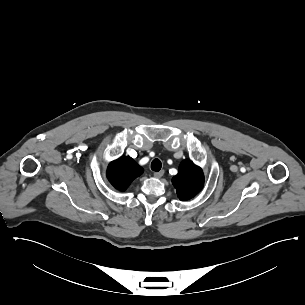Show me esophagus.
<instances>
[{"mask_svg": "<svg viewBox=\"0 0 305 305\" xmlns=\"http://www.w3.org/2000/svg\"><path fill=\"white\" fill-rule=\"evenodd\" d=\"M164 170L158 171L154 173V177L161 178L164 175Z\"/></svg>", "mask_w": 305, "mask_h": 305, "instance_id": "34e87169", "label": "esophagus"}]
</instances>
